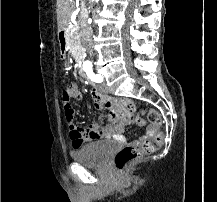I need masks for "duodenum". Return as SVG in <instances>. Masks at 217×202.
Listing matches in <instances>:
<instances>
[{"label":"duodenum","mask_w":217,"mask_h":202,"mask_svg":"<svg viewBox=\"0 0 217 202\" xmlns=\"http://www.w3.org/2000/svg\"><path fill=\"white\" fill-rule=\"evenodd\" d=\"M66 38H67L66 30L61 29L58 32V43H59V48H60V56H61L62 59L67 57V41H66ZM79 75L84 81L88 82L91 86L95 85L94 81L91 78V76L88 73H86L84 70H80Z\"/></svg>","instance_id":"1"}]
</instances>
